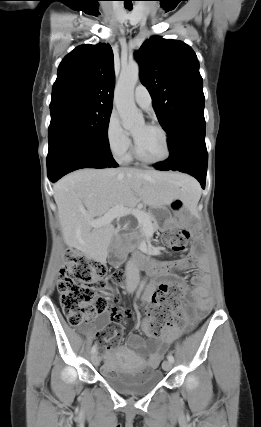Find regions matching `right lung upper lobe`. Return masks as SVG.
<instances>
[{"instance_id": "obj_1", "label": "right lung upper lobe", "mask_w": 261, "mask_h": 427, "mask_svg": "<svg viewBox=\"0 0 261 427\" xmlns=\"http://www.w3.org/2000/svg\"><path fill=\"white\" fill-rule=\"evenodd\" d=\"M114 61L110 45H80L58 67L50 109L65 105L111 107Z\"/></svg>"}]
</instances>
